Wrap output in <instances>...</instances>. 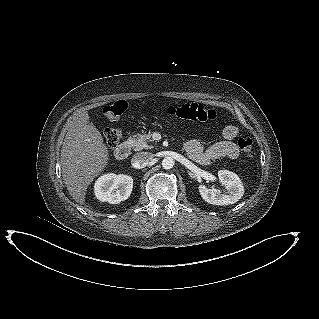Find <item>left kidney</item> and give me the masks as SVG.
I'll list each match as a JSON object with an SVG mask.
<instances>
[{
    "mask_svg": "<svg viewBox=\"0 0 319 319\" xmlns=\"http://www.w3.org/2000/svg\"><path fill=\"white\" fill-rule=\"evenodd\" d=\"M219 182L226 187L222 193L218 189H210L205 185H199V193L204 201L213 205H229L236 203L244 194V186L235 173L228 170L218 171Z\"/></svg>",
    "mask_w": 319,
    "mask_h": 319,
    "instance_id": "obj_1",
    "label": "left kidney"
}]
</instances>
